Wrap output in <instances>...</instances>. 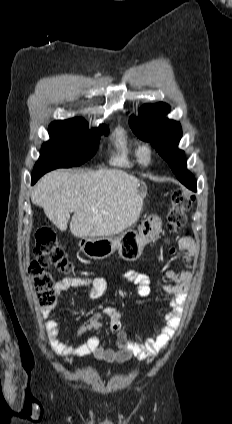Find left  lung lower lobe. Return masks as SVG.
<instances>
[{"instance_id": "left-lung-lower-lobe-1", "label": "left lung lower lobe", "mask_w": 232, "mask_h": 424, "mask_svg": "<svg viewBox=\"0 0 232 424\" xmlns=\"http://www.w3.org/2000/svg\"><path fill=\"white\" fill-rule=\"evenodd\" d=\"M182 184H184L187 188L196 191V181L194 177L191 175L186 178H182L179 180Z\"/></svg>"}]
</instances>
